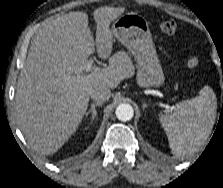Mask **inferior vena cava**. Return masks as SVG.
<instances>
[{"label": "inferior vena cava", "instance_id": "1", "mask_svg": "<svg viewBox=\"0 0 223 188\" xmlns=\"http://www.w3.org/2000/svg\"><path fill=\"white\" fill-rule=\"evenodd\" d=\"M90 96L97 103H102L110 98L111 91L108 87L101 86L93 89Z\"/></svg>", "mask_w": 223, "mask_h": 188}]
</instances>
